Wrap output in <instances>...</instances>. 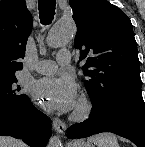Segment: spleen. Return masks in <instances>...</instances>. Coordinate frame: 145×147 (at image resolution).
Instances as JSON below:
<instances>
[{"label":"spleen","instance_id":"obj_1","mask_svg":"<svg viewBox=\"0 0 145 147\" xmlns=\"http://www.w3.org/2000/svg\"><path fill=\"white\" fill-rule=\"evenodd\" d=\"M97 147H119L116 136L110 133H102L89 138Z\"/></svg>","mask_w":145,"mask_h":147}]
</instances>
